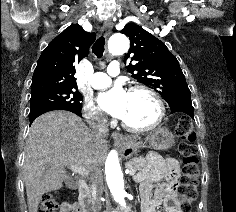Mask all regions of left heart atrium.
<instances>
[{
	"mask_svg": "<svg viewBox=\"0 0 236 212\" xmlns=\"http://www.w3.org/2000/svg\"><path fill=\"white\" fill-rule=\"evenodd\" d=\"M98 102L106 113L122 119L126 114L128 93L117 85L100 94Z\"/></svg>",
	"mask_w": 236,
	"mask_h": 212,
	"instance_id": "39dd6f15",
	"label": "left heart atrium"
}]
</instances>
